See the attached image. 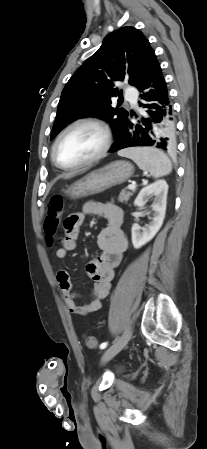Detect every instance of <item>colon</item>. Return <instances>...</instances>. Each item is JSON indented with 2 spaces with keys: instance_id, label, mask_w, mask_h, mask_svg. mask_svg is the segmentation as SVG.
Instances as JSON below:
<instances>
[{
  "instance_id": "5ec220e1",
  "label": "colon",
  "mask_w": 207,
  "mask_h": 449,
  "mask_svg": "<svg viewBox=\"0 0 207 449\" xmlns=\"http://www.w3.org/2000/svg\"><path fill=\"white\" fill-rule=\"evenodd\" d=\"M62 213V197L60 195H54L47 204V217L44 222V231L49 238L54 237L57 233ZM84 341L86 346L89 348H95L97 346V340L92 335H86Z\"/></svg>"
}]
</instances>
